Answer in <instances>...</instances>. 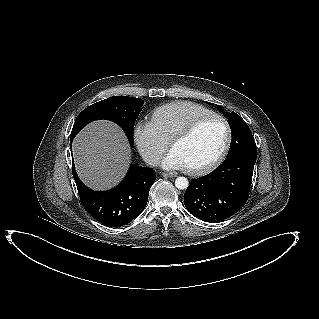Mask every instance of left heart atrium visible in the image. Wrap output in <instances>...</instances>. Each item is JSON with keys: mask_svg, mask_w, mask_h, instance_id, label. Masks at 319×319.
Here are the masks:
<instances>
[{"mask_svg": "<svg viewBox=\"0 0 319 319\" xmlns=\"http://www.w3.org/2000/svg\"><path fill=\"white\" fill-rule=\"evenodd\" d=\"M162 165L170 169L184 168V164L179 156L174 152L170 151L167 156L162 160Z\"/></svg>", "mask_w": 319, "mask_h": 319, "instance_id": "obj_1", "label": "left heart atrium"}]
</instances>
